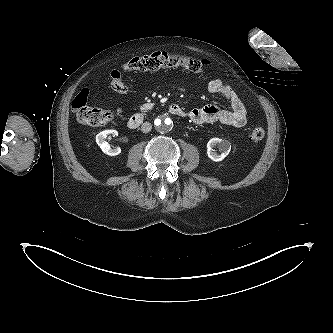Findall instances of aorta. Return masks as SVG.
Returning <instances> with one entry per match:
<instances>
[{"label": "aorta", "mask_w": 333, "mask_h": 333, "mask_svg": "<svg viewBox=\"0 0 333 333\" xmlns=\"http://www.w3.org/2000/svg\"><path fill=\"white\" fill-rule=\"evenodd\" d=\"M171 126V119L168 117L159 118L155 122V128L159 133H167Z\"/></svg>", "instance_id": "aorta-1"}]
</instances>
